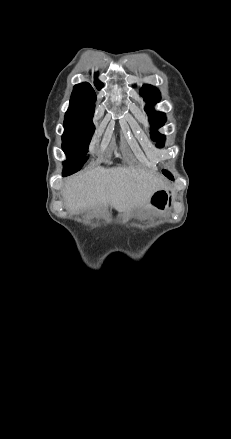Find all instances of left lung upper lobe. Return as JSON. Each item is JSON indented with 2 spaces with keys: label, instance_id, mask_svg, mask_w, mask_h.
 Segmentation results:
<instances>
[{
  "label": "left lung upper lobe",
  "instance_id": "left-lung-upper-lobe-1",
  "mask_svg": "<svg viewBox=\"0 0 231 439\" xmlns=\"http://www.w3.org/2000/svg\"><path fill=\"white\" fill-rule=\"evenodd\" d=\"M140 94L147 102L145 111L149 115V122L152 126L151 137L154 141L157 142L158 147H163L165 136L158 133L156 130L165 124L166 116L162 112L154 111L152 107L160 100V92L157 88L146 84L140 89ZM163 173L169 178L172 177L167 171H164Z\"/></svg>",
  "mask_w": 231,
  "mask_h": 439
}]
</instances>
